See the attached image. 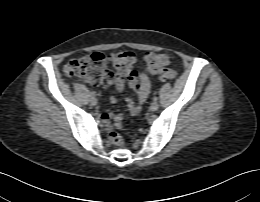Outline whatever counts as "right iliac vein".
Masks as SVG:
<instances>
[{
  "label": "right iliac vein",
  "mask_w": 260,
  "mask_h": 202,
  "mask_svg": "<svg viewBox=\"0 0 260 202\" xmlns=\"http://www.w3.org/2000/svg\"><path fill=\"white\" fill-rule=\"evenodd\" d=\"M90 103H91L92 106L97 105V99H96L95 97H92V98L90 99Z\"/></svg>",
  "instance_id": "obj_1"
}]
</instances>
